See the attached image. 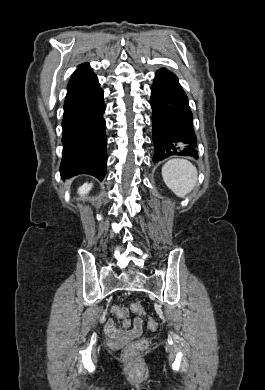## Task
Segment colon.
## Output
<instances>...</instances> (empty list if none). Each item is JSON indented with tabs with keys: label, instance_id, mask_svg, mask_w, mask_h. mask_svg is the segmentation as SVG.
I'll return each mask as SVG.
<instances>
[{
	"label": "colon",
	"instance_id": "1",
	"mask_svg": "<svg viewBox=\"0 0 265 390\" xmlns=\"http://www.w3.org/2000/svg\"><path fill=\"white\" fill-rule=\"evenodd\" d=\"M130 310L137 314H145L143 307L139 303H131L130 304ZM113 313L119 317V318H126L129 314V310L125 307H120L118 305H114L112 307ZM148 328L152 331L156 330L158 327V324L155 320L149 318L147 320ZM145 344L144 340H140L137 342L130 343L125 348V356L128 358H134L139 350L142 348V346Z\"/></svg>",
	"mask_w": 265,
	"mask_h": 390
}]
</instances>
